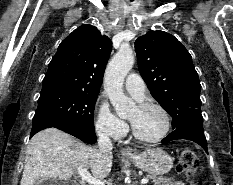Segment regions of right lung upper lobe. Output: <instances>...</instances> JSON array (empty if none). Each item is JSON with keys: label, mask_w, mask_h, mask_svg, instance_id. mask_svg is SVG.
Segmentation results:
<instances>
[{"label": "right lung upper lobe", "mask_w": 233, "mask_h": 185, "mask_svg": "<svg viewBox=\"0 0 233 185\" xmlns=\"http://www.w3.org/2000/svg\"><path fill=\"white\" fill-rule=\"evenodd\" d=\"M111 49V40L96 27L80 26L60 43L49 63L42 91L99 92Z\"/></svg>", "instance_id": "1"}]
</instances>
